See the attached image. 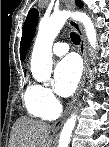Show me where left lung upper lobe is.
Here are the masks:
<instances>
[{
	"label": "left lung upper lobe",
	"instance_id": "5c2ea615",
	"mask_svg": "<svg viewBox=\"0 0 109 147\" xmlns=\"http://www.w3.org/2000/svg\"><path fill=\"white\" fill-rule=\"evenodd\" d=\"M76 5L78 7H82L83 3L80 0H76ZM38 20V11L36 9H31L28 13V16L26 18V21L24 23L23 27V35L21 38V44H20V58L21 61L24 60L25 54L31 44L35 27Z\"/></svg>",
	"mask_w": 109,
	"mask_h": 147
}]
</instances>
